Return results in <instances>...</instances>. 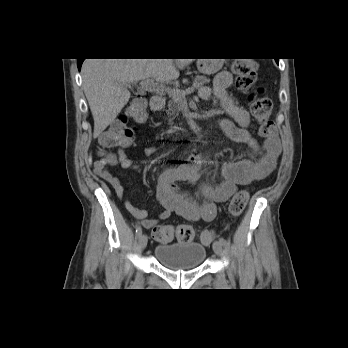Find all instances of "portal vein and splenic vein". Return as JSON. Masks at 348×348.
Here are the masks:
<instances>
[{
    "instance_id": "obj_1",
    "label": "portal vein and splenic vein",
    "mask_w": 348,
    "mask_h": 348,
    "mask_svg": "<svg viewBox=\"0 0 348 348\" xmlns=\"http://www.w3.org/2000/svg\"><path fill=\"white\" fill-rule=\"evenodd\" d=\"M140 86L144 90L149 91H165L175 98L176 101H180L182 98H185L186 95L194 92V87H189L186 90L175 89L167 87L163 84L154 83L152 79H145L140 82Z\"/></svg>"
}]
</instances>
